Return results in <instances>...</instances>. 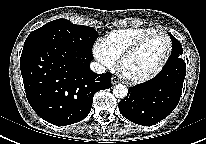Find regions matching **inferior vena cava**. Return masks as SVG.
I'll use <instances>...</instances> for the list:
<instances>
[{"mask_svg": "<svg viewBox=\"0 0 206 144\" xmlns=\"http://www.w3.org/2000/svg\"><path fill=\"white\" fill-rule=\"evenodd\" d=\"M90 69L97 74H104L106 71L105 67L98 62H92Z\"/></svg>", "mask_w": 206, "mask_h": 144, "instance_id": "inferior-vena-cava-1", "label": "inferior vena cava"}]
</instances>
